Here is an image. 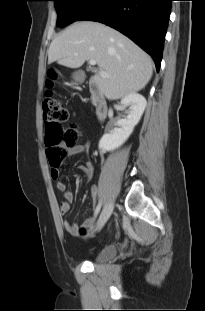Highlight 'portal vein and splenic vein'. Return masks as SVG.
I'll return each mask as SVG.
<instances>
[{
    "label": "portal vein and splenic vein",
    "instance_id": "1",
    "mask_svg": "<svg viewBox=\"0 0 205 311\" xmlns=\"http://www.w3.org/2000/svg\"><path fill=\"white\" fill-rule=\"evenodd\" d=\"M89 63H90L91 65H96L97 62H96L95 60H90ZM99 73H100V75H101L102 77H107V76H108V74H107L105 71H100Z\"/></svg>",
    "mask_w": 205,
    "mask_h": 311
}]
</instances>
